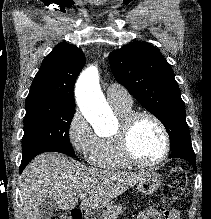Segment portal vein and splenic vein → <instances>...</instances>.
<instances>
[{
  "label": "portal vein and splenic vein",
  "instance_id": "1",
  "mask_svg": "<svg viewBox=\"0 0 211 219\" xmlns=\"http://www.w3.org/2000/svg\"><path fill=\"white\" fill-rule=\"evenodd\" d=\"M78 198L85 199L86 198V194L85 193H80V194H78Z\"/></svg>",
  "mask_w": 211,
  "mask_h": 219
}]
</instances>
